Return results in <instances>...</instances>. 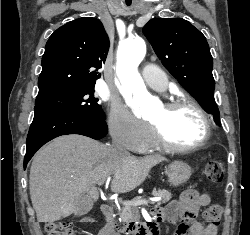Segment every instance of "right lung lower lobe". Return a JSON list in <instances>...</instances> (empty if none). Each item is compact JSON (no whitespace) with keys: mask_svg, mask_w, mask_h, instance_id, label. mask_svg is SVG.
<instances>
[{"mask_svg":"<svg viewBox=\"0 0 250 235\" xmlns=\"http://www.w3.org/2000/svg\"><path fill=\"white\" fill-rule=\"evenodd\" d=\"M107 132L105 119L93 118L78 112L38 109L35 111L27 136L24 168L41 146L58 136L80 134L101 139Z\"/></svg>","mask_w":250,"mask_h":235,"instance_id":"right-lung-lower-lobe-1","label":"right lung lower lobe"}]
</instances>
